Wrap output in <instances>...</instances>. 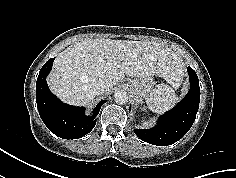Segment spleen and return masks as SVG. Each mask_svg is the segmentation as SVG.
<instances>
[{
	"label": "spleen",
	"instance_id": "3e777b00",
	"mask_svg": "<svg viewBox=\"0 0 236 178\" xmlns=\"http://www.w3.org/2000/svg\"><path fill=\"white\" fill-rule=\"evenodd\" d=\"M178 102L175 90L167 84H158L153 88L147 97L148 108L157 114L164 113L171 109Z\"/></svg>",
	"mask_w": 236,
	"mask_h": 178
}]
</instances>
